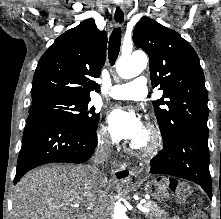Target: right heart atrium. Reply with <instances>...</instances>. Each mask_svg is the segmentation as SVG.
Instances as JSON below:
<instances>
[{
  "label": "right heart atrium",
  "instance_id": "obj_1",
  "mask_svg": "<svg viewBox=\"0 0 221 219\" xmlns=\"http://www.w3.org/2000/svg\"><path fill=\"white\" fill-rule=\"evenodd\" d=\"M98 137H99V140H101L102 142L107 141L108 133H107V129L105 127H102L99 130Z\"/></svg>",
  "mask_w": 221,
  "mask_h": 219
}]
</instances>
